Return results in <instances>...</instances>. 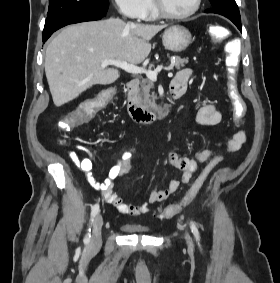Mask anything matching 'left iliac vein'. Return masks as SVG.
Segmentation results:
<instances>
[{"label": "left iliac vein", "mask_w": 280, "mask_h": 283, "mask_svg": "<svg viewBox=\"0 0 280 283\" xmlns=\"http://www.w3.org/2000/svg\"><path fill=\"white\" fill-rule=\"evenodd\" d=\"M185 238H186V240H187V243H188L189 245H191L192 242H191V238H190V236H189L188 233L185 235Z\"/></svg>", "instance_id": "left-iliac-vein-1"}]
</instances>
